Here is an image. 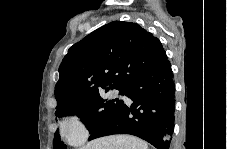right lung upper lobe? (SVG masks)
<instances>
[{"instance_id": "cb5924a9", "label": "right lung upper lobe", "mask_w": 227, "mask_h": 149, "mask_svg": "<svg viewBox=\"0 0 227 149\" xmlns=\"http://www.w3.org/2000/svg\"><path fill=\"white\" fill-rule=\"evenodd\" d=\"M166 60L160 40L138 24H106L71 46L63 58L56 108L109 84L126 87Z\"/></svg>"}]
</instances>
